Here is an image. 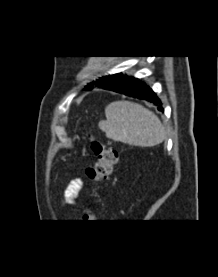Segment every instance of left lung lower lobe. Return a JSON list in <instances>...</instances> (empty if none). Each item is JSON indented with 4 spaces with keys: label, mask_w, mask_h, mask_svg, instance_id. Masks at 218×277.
Masks as SVG:
<instances>
[{
    "label": "left lung lower lobe",
    "mask_w": 218,
    "mask_h": 277,
    "mask_svg": "<svg viewBox=\"0 0 218 277\" xmlns=\"http://www.w3.org/2000/svg\"><path fill=\"white\" fill-rule=\"evenodd\" d=\"M97 86L131 97L144 99L156 105L158 110L163 111L161 102L157 98L156 94L139 79L115 74L109 76L104 82Z\"/></svg>",
    "instance_id": "obj_1"
}]
</instances>
